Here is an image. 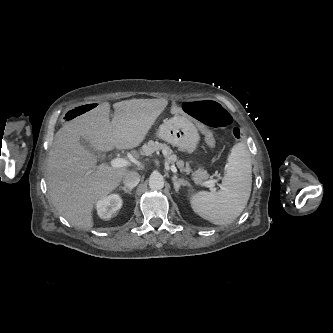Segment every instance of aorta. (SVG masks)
Instances as JSON below:
<instances>
[{"label": "aorta", "mask_w": 333, "mask_h": 333, "mask_svg": "<svg viewBox=\"0 0 333 333\" xmlns=\"http://www.w3.org/2000/svg\"><path fill=\"white\" fill-rule=\"evenodd\" d=\"M149 187L153 190H161L164 187V178L160 173L154 172L149 177Z\"/></svg>", "instance_id": "762f6f07"}]
</instances>
